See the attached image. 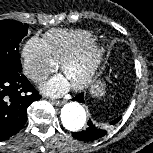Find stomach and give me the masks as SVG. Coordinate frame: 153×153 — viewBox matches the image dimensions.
I'll return each instance as SVG.
<instances>
[{
    "instance_id": "1",
    "label": "stomach",
    "mask_w": 153,
    "mask_h": 153,
    "mask_svg": "<svg viewBox=\"0 0 153 153\" xmlns=\"http://www.w3.org/2000/svg\"><path fill=\"white\" fill-rule=\"evenodd\" d=\"M90 93L94 97L102 96L104 93V86L102 83L98 82L91 86Z\"/></svg>"
}]
</instances>
